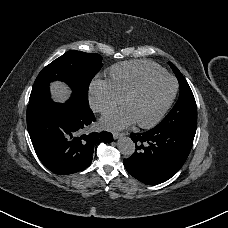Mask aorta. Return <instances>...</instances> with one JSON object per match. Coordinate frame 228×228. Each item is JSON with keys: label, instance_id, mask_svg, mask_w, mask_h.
Returning <instances> with one entry per match:
<instances>
[{"label": "aorta", "instance_id": "762f6f07", "mask_svg": "<svg viewBox=\"0 0 228 228\" xmlns=\"http://www.w3.org/2000/svg\"><path fill=\"white\" fill-rule=\"evenodd\" d=\"M117 147L125 157L131 156L135 151V143L129 137H122L117 142Z\"/></svg>", "mask_w": 228, "mask_h": 228}]
</instances>
